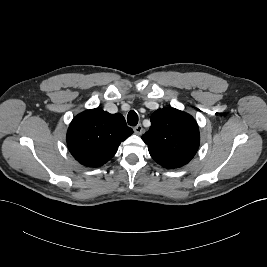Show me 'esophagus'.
I'll return each mask as SVG.
<instances>
[{"mask_svg": "<svg viewBox=\"0 0 267 267\" xmlns=\"http://www.w3.org/2000/svg\"><path fill=\"white\" fill-rule=\"evenodd\" d=\"M134 132L137 135H141L143 133V127L141 124H138L137 126L134 127Z\"/></svg>", "mask_w": 267, "mask_h": 267, "instance_id": "esophagus-1", "label": "esophagus"}]
</instances>
